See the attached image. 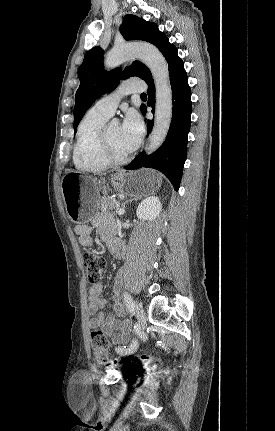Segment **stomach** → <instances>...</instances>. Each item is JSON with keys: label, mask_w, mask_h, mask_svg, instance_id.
Wrapping results in <instances>:
<instances>
[{"label": "stomach", "mask_w": 275, "mask_h": 431, "mask_svg": "<svg viewBox=\"0 0 275 431\" xmlns=\"http://www.w3.org/2000/svg\"><path fill=\"white\" fill-rule=\"evenodd\" d=\"M111 184L118 192L140 196L158 190L162 178L153 170L119 171L112 176ZM107 189L105 186L99 187L89 177L75 172L66 173L61 180V192L69 219L77 224L89 222L98 209L99 192L106 193Z\"/></svg>", "instance_id": "1"}]
</instances>
